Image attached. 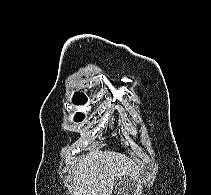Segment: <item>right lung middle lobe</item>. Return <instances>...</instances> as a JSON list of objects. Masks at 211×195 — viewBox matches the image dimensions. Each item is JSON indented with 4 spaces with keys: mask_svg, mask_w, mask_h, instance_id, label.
Returning <instances> with one entry per match:
<instances>
[{
    "mask_svg": "<svg viewBox=\"0 0 211 195\" xmlns=\"http://www.w3.org/2000/svg\"><path fill=\"white\" fill-rule=\"evenodd\" d=\"M83 118H84V114L77 113L75 116V121H82Z\"/></svg>",
    "mask_w": 211,
    "mask_h": 195,
    "instance_id": "1",
    "label": "right lung middle lobe"
}]
</instances>
